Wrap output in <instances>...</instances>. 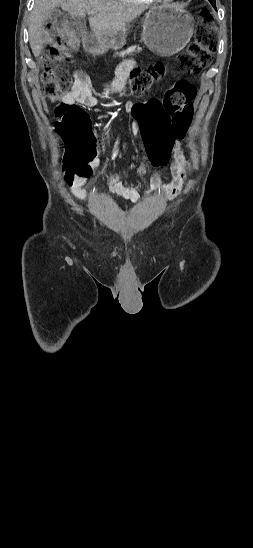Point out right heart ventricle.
<instances>
[{
	"instance_id": "right-heart-ventricle-1",
	"label": "right heart ventricle",
	"mask_w": 253,
	"mask_h": 548,
	"mask_svg": "<svg viewBox=\"0 0 253 548\" xmlns=\"http://www.w3.org/2000/svg\"><path fill=\"white\" fill-rule=\"evenodd\" d=\"M123 3L127 4H134V5H149L153 2V0H118Z\"/></svg>"
}]
</instances>
